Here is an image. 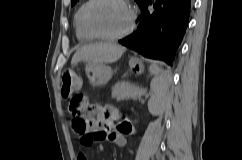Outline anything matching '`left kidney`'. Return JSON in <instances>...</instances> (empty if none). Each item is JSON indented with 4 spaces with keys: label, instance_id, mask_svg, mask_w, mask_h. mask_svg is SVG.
<instances>
[{
    "label": "left kidney",
    "instance_id": "left-kidney-1",
    "mask_svg": "<svg viewBox=\"0 0 242 160\" xmlns=\"http://www.w3.org/2000/svg\"><path fill=\"white\" fill-rule=\"evenodd\" d=\"M148 110L152 115H159L162 112V107L154 103V98L148 102Z\"/></svg>",
    "mask_w": 242,
    "mask_h": 160
}]
</instances>
